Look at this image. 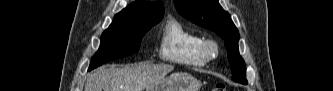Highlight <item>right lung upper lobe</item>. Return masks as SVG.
<instances>
[{
  "instance_id": "obj_1",
  "label": "right lung upper lobe",
  "mask_w": 333,
  "mask_h": 91,
  "mask_svg": "<svg viewBox=\"0 0 333 91\" xmlns=\"http://www.w3.org/2000/svg\"><path fill=\"white\" fill-rule=\"evenodd\" d=\"M163 13L164 7L160 1L156 4L148 3L145 1H135L121 12L116 14L112 24L162 18Z\"/></svg>"
}]
</instances>
